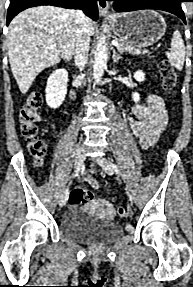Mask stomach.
<instances>
[{
	"mask_svg": "<svg viewBox=\"0 0 193 287\" xmlns=\"http://www.w3.org/2000/svg\"><path fill=\"white\" fill-rule=\"evenodd\" d=\"M109 24L120 39L135 48L153 45L166 31L164 18L153 10L121 13Z\"/></svg>",
	"mask_w": 193,
	"mask_h": 287,
	"instance_id": "stomach-1",
	"label": "stomach"
}]
</instances>
